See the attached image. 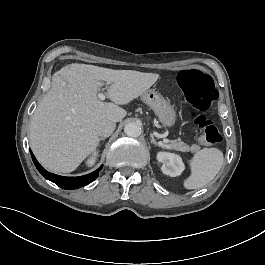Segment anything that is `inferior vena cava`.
I'll return each instance as SVG.
<instances>
[{
  "instance_id": "inferior-vena-cava-1",
  "label": "inferior vena cava",
  "mask_w": 265,
  "mask_h": 265,
  "mask_svg": "<svg viewBox=\"0 0 265 265\" xmlns=\"http://www.w3.org/2000/svg\"><path fill=\"white\" fill-rule=\"evenodd\" d=\"M116 124L110 120H101L98 123L97 132L102 137L110 136L115 130Z\"/></svg>"
}]
</instances>
